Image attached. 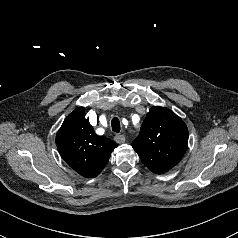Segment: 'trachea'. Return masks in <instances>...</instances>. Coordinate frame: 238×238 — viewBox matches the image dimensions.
<instances>
[{
  "label": "trachea",
  "instance_id": "1",
  "mask_svg": "<svg viewBox=\"0 0 238 238\" xmlns=\"http://www.w3.org/2000/svg\"><path fill=\"white\" fill-rule=\"evenodd\" d=\"M112 130L116 133L120 132V121L118 118H113L111 121Z\"/></svg>",
  "mask_w": 238,
  "mask_h": 238
}]
</instances>
